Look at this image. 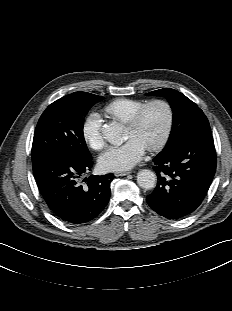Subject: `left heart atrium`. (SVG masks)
<instances>
[{
    "label": "left heart atrium",
    "instance_id": "39dd6f15",
    "mask_svg": "<svg viewBox=\"0 0 232 311\" xmlns=\"http://www.w3.org/2000/svg\"><path fill=\"white\" fill-rule=\"evenodd\" d=\"M147 147L137 139H131L124 145L110 148L99 158V165L107 171H125L138 164Z\"/></svg>",
    "mask_w": 232,
    "mask_h": 311
}]
</instances>
